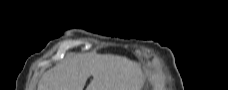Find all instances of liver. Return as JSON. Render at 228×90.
Instances as JSON below:
<instances>
[{"label": "liver", "mask_w": 228, "mask_h": 90, "mask_svg": "<svg viewBox=\"0 0 228 90\" xmlns=\"http://www.w3.org/2000/svg\"><path fill=\"white\" fill-rule=\"evenodd\" d=\"M139 90L143 83L141 69L125 57L110 54L79 55L65 60L46 72L38 90Z\"/></svg>", "instance_id": "liver-1"}]
</instances>
